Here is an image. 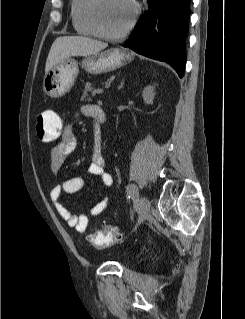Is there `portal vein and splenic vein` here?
<instances>
[{
    "label": "portal vein and splenic vein",
    "mask_w": 245,
    "mask_h": 319,
    "mask_svg": "<svg viewBox=\"0 0 245 319\" xmlns=\"http://www.w3.org/2000/svg\"><path fill=\"white\" fill-rule=\"evenodd\" d=\"M104 93H105V89H97L92 94L93 96H95L96 94H104Z\"/></svg>",
    "instance_id": "portal-vein-and-splenic-vein-1"
}]
</instances>
